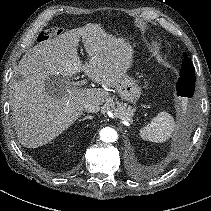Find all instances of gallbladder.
<instances>
[{
  "label": "gallbladder",
  "mask_w": 211,
  "mask_h": 211,
  "mask_svg": "<svg viewBox=\"0 0 211 211\" xmlns=\"http://www.w3.org/2000/svg\"><path fill=\"white\" fill-rule=\"evenodd\" d=\"M56 82L63 84V79L60 76H50L48 80L45 82V90L50 95L57 97L61 94V92L56 90V86H55Z\"/></svg>",
  "instance_id": "bac80fb5"
}]
</instances>
